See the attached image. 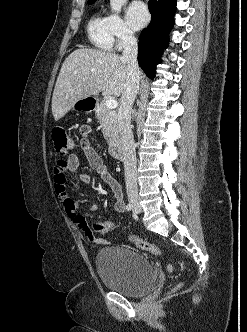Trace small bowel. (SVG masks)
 <instances>
[{"label":"small bowel","instance_id":"obj_1","mask_svg":"<svg viewBox=\"0 0 247 332\" xmlns=\"http://www.w3.org/2000/svg\"><path fill=\"white\" fill-rule=\"evenodd\" d=\"M81 134L80 149L81 153L86 157L90 167L94 169L102 178V180L110 187L113 193V209L117 213L125 211V202L123 199V192L120 183L109 173L103 163L100 155L92 147L89 136L91 128L88 125H83L79 129ZM79 152L71 153L67 159L58 160L54 166V189L57 197L64 207L68 217L72 222L84 233L86 238L93 243H102L103 240L98 238L93 229L88 224L86 218L78 213L77 203L72 197L71 192L67 188V174L77 175L79 180L84 184L91 182L90 174L86 172H79ZM96 206H91V211H95Z\"/></svg>","mask_w":247,"mask_h":332}]
</instances>
